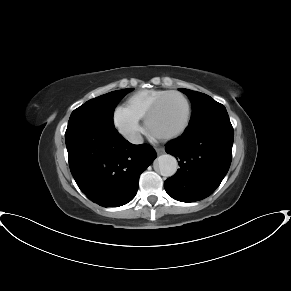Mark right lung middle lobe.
<instances>
[{"mask_svg": "<svg viewBox=\"0 0 291 291\" xmlns=\"http://www.w3.org/2000/svg\"><path fill=\"white\" fill-rule=\"evenodd\" d=\"M132 90L133 88L117 90L87 101L72 112L68 124L94 122L114 126V109L119 101Z\"/></svg>", "mask_w": 291, "mask_h": 291, "instance_id": "right-lung-middle-lobe-1", "label": "right lung middle lobe"}]
</instances>
